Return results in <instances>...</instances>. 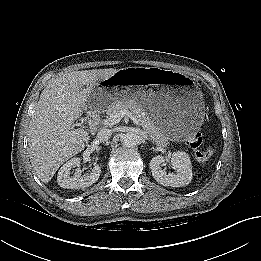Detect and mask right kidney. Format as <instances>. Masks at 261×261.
Returning a JSON list of instances; mask_svg holds the SVG:
<instances>
[{
  "instance_id": "ca27d5eb",
  "label": "right kidney",
  "mask_w": 261,
  "mask_h": 261,
  "mask_svg": "<svg viewBox=\"0 0 261 261\" xmlns=\"http://www.w3.org/2000/svg\"><path fill=\"white\" fill-rule=\"evenodd\" d=\"M80 163V158L74 157L60 168L57 176L58 185L60 187L67 189H83L97 182L101 173V167L98 164H94L91 172L82 176V170L79 167ZM73 167H77V169L72 176L70 170Z\"/></svg>"
}]
</instances>
